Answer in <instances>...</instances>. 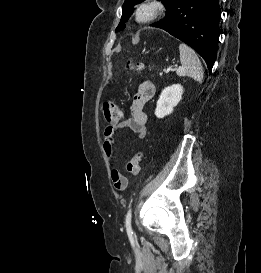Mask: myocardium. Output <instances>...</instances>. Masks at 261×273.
<instances>
[{
    "instance_id": "1",
    "label": "myocardium",
    "mask_w": 261,
    "mask_h": 273,
    "mask_svg": "<svg viewBox=\"0 0 261 273\" xmlns=\"http://www.w3.org/2000/svg\"><path fill=\"white\" fill-rule=\"evenodd\" d=\"M166 7L160 0H145L137 5L134 10L135 21L139 24H148L157 20Z\"/></svg>"
}]
</instances>
